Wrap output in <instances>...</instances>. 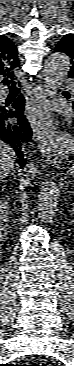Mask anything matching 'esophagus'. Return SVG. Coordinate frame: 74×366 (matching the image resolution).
I'll return each instance as SVG.
<instances>
[{"instance_id": "obj_1", "label": "esophagus", "mask_w": 74, "mask_h": 366, "mask_svg": "<svg viewBox=\"0 0 74 366\" xmlns=\"http://www.w3.org/2000/svg\"><path fill=\"white\" fill-rule=\"evenodd\" d=\"M46 95L41 85L33 88L26 100V114L31 124L34 137L40 149H45L49 143L48 137L52 129L49 127L50 115L44 109Z\"/></svg>"}]
</instances>
